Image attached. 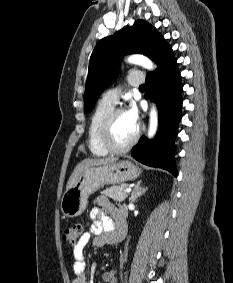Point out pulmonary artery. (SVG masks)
Returning a JSON list of instances; mask_svg holds the SVG:
<instances>
[{
    "instance_id": "obj_1",
    "label": "pulmonary artery",
    "mask_w": 233,
    "mask_h": 283,
    "mask_svg": "<svg viewBox=\"0 0 233 283\" xmlns=\"http://www.w3.org/2000/svg\"><path fill=\"white\" fill-rule=\"evenodd\" d=\"M128 83L131 86H140L144 83V77L139 72L131 73L128 77ZM119 94H120V89L116 88L109 90L104 93L102 97V101L115 106L118 103Z\"/></svg>"
}]
</instances>
